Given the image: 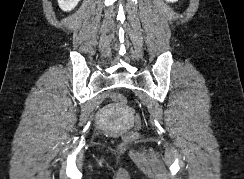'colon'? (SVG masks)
<instances>
[{"label":"colon","instance_id":"colon-1","mask_svg":"<svg viewBox=\"0 0 244 179\" xmlns=\"http://www.w3.org/2000/svg\"><path fill=\"white\" fill-rule=\"evenodd\" d=\"M112 98L114 101H117L119 103H124L127 104L128 100L126 96H123V93H112ZM135 120V125L133 126L134 130L138 129L137 125H142V120H139L138 116L134 117ZM134 138H137V133H126L125 137H121V143L120 146L121 147H127L128 143L127 142H134Z\"/></svg>","mask_w":244,"mask_h":179}]
</instances>
